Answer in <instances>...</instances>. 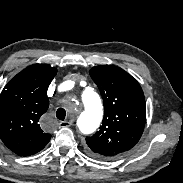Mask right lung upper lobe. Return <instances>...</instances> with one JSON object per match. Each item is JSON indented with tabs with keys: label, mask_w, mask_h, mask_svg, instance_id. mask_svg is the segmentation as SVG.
I'll return each instance as SVG.
<instances>
[{
	"label": "right lung upper lobe",
	"mask_w": 183,
	"mask_h": 183,
	"mask_svg": "<svg viewBox=\"0 0 183 183\" xmlns=\"http://www.w3.org/2000/svg\"><path fill=\"white\" fill-rule=\"evenodd\" d=\"M57 69L33 64L18 73L0 95V138L19 156L33 155L51 139L39 119L47 111V89Z\"/></svg>",
	"instance_id": "right-lung-upper-lobe-1"
}]
</instances>
